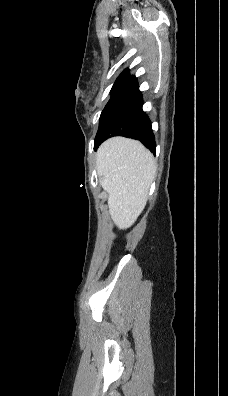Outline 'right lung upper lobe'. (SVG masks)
I'll return each instance as SVG.
<instances>
[{
    "instance_id": "right-lung-upper-lobe-1",
    "label": "right lung upper lobe",
    "mask_w": 228,
    "mask_h": 396,
    "mask_svg": "<svg viewBox=\"0 0 228 396\" xmlns=\"http://www.w3.org/2000/svg\"><path fill=\"white\" fill-rule=\"evenodd\" d=\"M137 79L135 76H130L129 75V69L124 70L117 80L114 83V86H120L123 88L129 87L132 84L136 83Z\"/></svg>"
}]
</instances>
